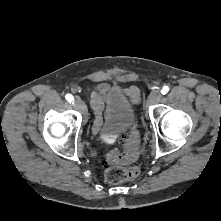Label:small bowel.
<instances>
[{
    "instance_id": "1",
    "label": "small bowel",
    "mask_w": 221,
    "mask_h": 221,
    "mask_svg": "<svg viewBox=\"0 0 221 221\" xmlns=\"http://www.w3.org/2000/svg\"><path fill=\"white\" fill-rule=\"evenodd\" d=\"M109 90V85L107 83H101L95 88L88 91L90 105L95 112V122L93 126V132L96 134L103 124V113L105 108V97ZM128 95L132 99H137L139 97V91L136 87H131L128 89Z\"/></svg>"
}]
</instances>
